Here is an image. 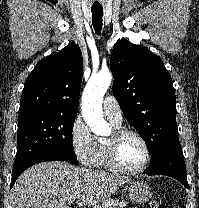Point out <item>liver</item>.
<instances>
[{
  "instance_id": "liver-1",
  "label": "liver",
  "mask_w": 199,
  "mask_h": 208,
  "mask_svg": "<svg viewBox=\"0 0 199 208\" xmlns=\"http://www.w3.org/2000/svg\"><path fill=\"white\" fill-rule=\"evenodd\" d=\"M129 181L125 176L65 162H43L19 176L12 189V208H69V197L79 207L91 206L110 198Z\"/></svg>"
}]
</instances>
